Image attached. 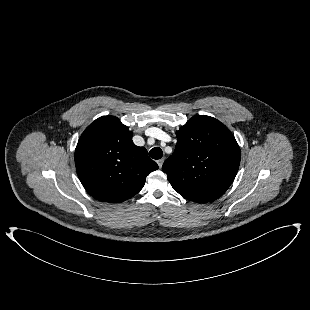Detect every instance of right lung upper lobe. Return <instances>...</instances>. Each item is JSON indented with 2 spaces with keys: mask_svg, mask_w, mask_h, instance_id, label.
I'll list each match as a JSON object with an SVG mask.
<instances>
[{
  "mask_svg": "<svg viewBox=\"0 0 310 310\" xmlns=\"http://www.w3.org/2000/svg\"><path fill=\"white\" fill-rule=\"evenodd\" d=\"M132 135L117 117L103 116L80 136L75 150L76 171L95 199L123 202L137 194L146 176L158 169L147 150L133 143Z\"/></svg>",
  "mask_w": 310,
  "mask_h": 310,
  "instance_id": "obj_1",
  "label": "right lung upper lobe"
}]
</instances>
